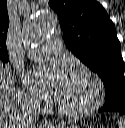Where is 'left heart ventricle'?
I'll list each match as a JSON object with an SVG mask.
<instances>
[{"instance_id": "left-heart-ventricle-1", "label": "left heart ventricle", "mask_w": 125, "mask_h": 128, "mask_svg": "<svg viewBox=\"0 0 125 128\" xmlns=\"http://www.w3.org/2000/svg\"><path fill=\"white\" fill-rule=\"evenodd\" d=\"M95 97V86L84 76L69 75L58 105L68 110H77L91 103Z\"/></svg>"}]
</instances>
